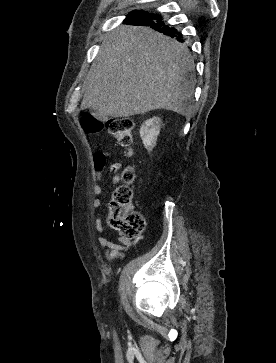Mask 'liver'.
Here are the masks:
<instances>
[{"instance_id": "liver-1", "label": "liver", "mask_w": 276, "mask_h": 363, "mask_svg": "<svg viewBox=\"0 0 276 363\" xmlns=\"http://www.w3.org/2000/svg\"><path fill=\"white\" fill-rule=\"evenodd\" d=\"M194 69L189 50L175 39L148 27L121 26L102 42L86 78L81 109L90 108L97 119L156 109L190 117Z\"/></svg>"}]
</instances>
